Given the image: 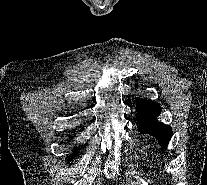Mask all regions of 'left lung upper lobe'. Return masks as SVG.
Returning <instances> with one entry per match:
<instances>
[{
	"mask_svg": "<svg viewBox=\"0 0 207 185\" xmlns=\"http://www.w3.org/2000/svg\"><path fill=\"white\" fill-rule=\"evenodd\" d=\"M136 110L139 131L155 137L161 146L167 148L172 137V129L154 120L161 112L160 106L152 101H141L137 104Z\"/></svg>",
	"mask_w": 207,
	"mask_h": 185,
	"instance_id": "5c2ea615",
	"label": "left lung upper lobe"
}]
</instances>
